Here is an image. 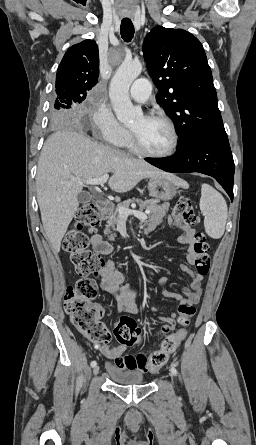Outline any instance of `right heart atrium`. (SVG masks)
I'll return each instance as SVG.
<instances>
[{
	"mask_svg": "<svg viewBox=\"0 0 256 445\" xmlns=\"http://www.w3.org/2000/svg\"><path fill=\"white\" fill-rule=\"evenodd\" d=\"M94 131L104 142L121 145L129 136V132L117 120L105 102H99L92 115Z\"/></svg>",
	"mask_w": 256,
	"mask_h": 445,
	"instance_id": "d8ad5b80",
	"label": "right heart atrium"
}]
</instances>
